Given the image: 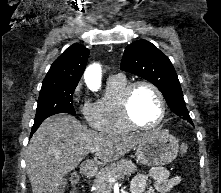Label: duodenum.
Wrapping results in <instances>:
<instances>
[{
	"label": "duodenum",
	"instance_id": "duodenum-1",
	"mask_svg": "<svg viewBox=\"0 0 221 193\" xmlns=\"http://www.w3.org/2000/svg\"><path fill=\"white\" fill-rule=\"evenodd\" d=\"M81 174L84 178L90 179L94 174V168L91 163H83L81 166Z\"/></svg>",
	"mask_w": 221,
	"mask_h": 193
}]
</instances>
